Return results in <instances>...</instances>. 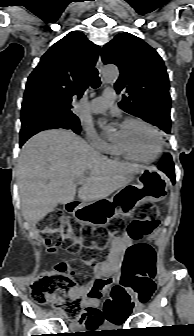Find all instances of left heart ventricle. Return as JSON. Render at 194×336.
I'll use <instances>...</instances> for the list:
<instances>
[{
  "mask_svg": "<svg viewBox=\"0 0 194 336\" xmlns=\"http://www.w3.org/2000/svg\"><path fill=\"white\" fill-rule=\"evenodd\" d=\"M114 141L144 158L152 157L157 149V140L153 132L138 123L123 125L115 132Z\"/></svg>",
  "mask_w": 194,
  "mask_h": 336,
  "instance_id": "b2bd125f",
  "label": "left heart ventricle"
}]
</instances>
